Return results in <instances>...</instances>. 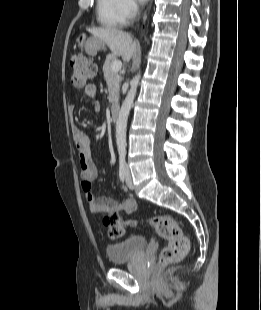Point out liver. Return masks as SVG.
<instances>
[{"mask_svg": "<svg viewBox=\"0 0 261 310\" xmlns=\"http://www.w3.org/2000/svg\"><path fill=\"white\" fill-rule=\"evenodd\" d=\"M88 31L93 37L102 40L108 45L114 55L122 56L126 62L130 61L136 53L137 44L133 42L129 33L116 28H91Z\"/></svg>", "mask_w": 261, "mask_h": 310, "instance_id": "obj_1", "label": "liver"}]
</instances>
